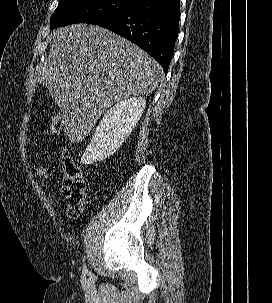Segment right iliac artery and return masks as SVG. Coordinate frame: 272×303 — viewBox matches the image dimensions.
Returning <instances> with one entry per match:
<instances>
[{"label":"right iliac artery","instance_id":"1","mask_svg":"<svg viewBox=\"0 0 272 303\" xmlns=\"http://www.w3.org/2000/svg\"><path fill=\"white\" fill-rule=\"evenodd\" d=\"M87 272H88V270H87L86 266H84V268H83V274L85 275Z\"/></svg>","mask_w":272,"mask_h":303}]
</instances>
